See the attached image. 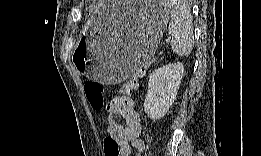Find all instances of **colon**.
<instances>
[{"label": "colon", "mask_w": 261, "mask_h": 156, "mask_svg": "<svg viewBox=\"0 0 261 156\" xmlns=\"http://www.w3.org/2000/svg\"><path fill=\"white\" fill-rule=\"evenodd\" d=\"M144 69L139 70L131 79L122 87L124 93H131L138 84V80L143 76ZM86 97L94 110H101L104 107L105 90L104 87L95 81H88L84 85ZM104 152L106 156H122V149L118 141L111 136L104 140Z\"/></svg>", "instance_id": "obj_1"}]
</instances>
